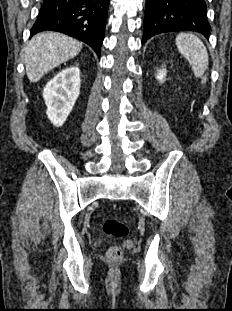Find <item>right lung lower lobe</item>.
I'll use <instances>...</instances> for the list:
<instances>
[{
    "label": "right lung lower lobe",
    "mask_w": 232,
    "mask_h": 311,
    "mask_svg": "<svg viewBox=\"0 0 232 311\" xmlns=\"http://www.w3.org/2000/svg\"><path fill=\"white\" fill-rule=\"evenodd\" d=\"M110 0H44L30 36L58 31L88 45L100 56Z\"/></svg>",
    "instance_id": "98d812e1"
}]
</instances>
